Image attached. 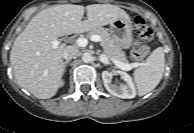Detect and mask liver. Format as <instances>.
Listing matches in <instances>:
<instances>
[{
	"mask_svg": "<svg viewBox=\"0 0 194 133\" xmlns=\"http://www.w3.org/2000/svg\"><path fill=\"white\" fill-rule=\"evenodd\" d=\"M86 10L87 19L82 21ZM129 18L118 6L111 4L56 5L36 14L16 37L10 63L19 86L36 98L53 97L64 73L65 46L52 47L58 37L79 34Z\"/></svg>",
	"mask_w": 194,
	"mask_h": 133,
	"instance_id": "obj_1",
	"label": "liver"
}]
</instances>
